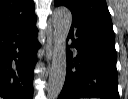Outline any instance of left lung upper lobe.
<instances>
[{"label":"left lung upper lobe","mask_w":128,"mask_h":99,"mask_svg":"<svg viewBox=\"0 0 128 99\" xmlns=\"http://www.w3.org/2000/svg\"><path fill=\"white\" fill-rule=\"evenodd\" d=\"M60 5L70 9L73 21L112 28V20L105 0H55V6Z\"/></svg>","instance_id":"1"}]
</instances>
